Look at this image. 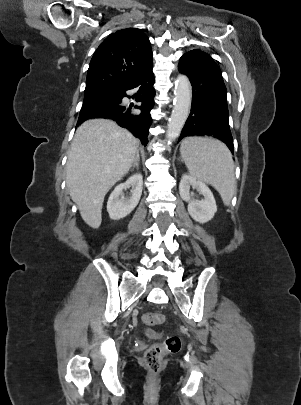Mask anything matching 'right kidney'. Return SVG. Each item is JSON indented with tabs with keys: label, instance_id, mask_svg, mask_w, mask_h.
<instances>
[{
	"label": "right kidney",
	"instance_id": "right-kidney-1",
	"mask_svg": "<svg viewBox=\"0 0 301 405\" xmlns=\"http://www.w3.org/2000/svg\"><path fill=\"white\" fill-rule=\"evenodd\" d=\"M131 187V197L125 198L123 190ZM143 189L141 174H134L126 182L119 184L111 193L107 202V211L113 220H119L129 215L139 203Z\"/></svg>",
	"mask_w": 301,
	"mask_h": 405
}]
</instances>
